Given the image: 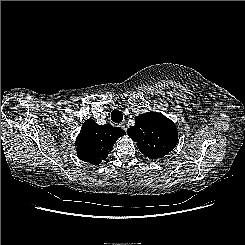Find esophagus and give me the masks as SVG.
<instances>
[{"mask_svg":"<svg viewBox=\"0 0 245 245\" xmlns=\"http://www.w3.org/2000/svg\"><path fill=\"white\" fill-rule=\"evenodd\" d=\"M119 126L126 132L127 127H126L125 123H121V124H119Z\"/></svg>","mask_w":245,"mask_h":245,"instance_id":"34e87169","label":"esophagus"}]
</instances>
